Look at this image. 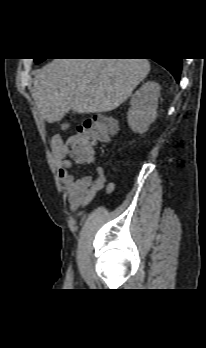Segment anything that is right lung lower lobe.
<instances>
[{
	"mask_svg": "<svg viewBox=\"0 0 206 348\" xmlns=\"http://www.w3.org/2000/svg\"><path fill=\"white\" fill-rule=\"evenodd\" d=\"M155 61L170 71L176 81L179 82L182 67L181 59H159Z\"/></svg>",
	"mask_w": 206,
	"mask_h": 348,
	"instance_id": "obj_1",
	"label": "right lung lower lobe"
}]
</instances>
